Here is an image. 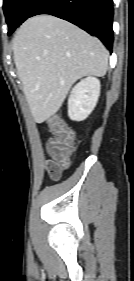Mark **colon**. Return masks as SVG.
Wrapping results in <instances>:
<instances>
[{"mask_svg": "<svg viewBox=\"0 0 134 281\" xmlns=\"http://www.w3.org/2000/svg\"><path fill=\"white\" fill-rule=\"evenodd\" d=\"M49 126L52 137L47 144L48 152L62 169H67L75 148V134L58 116H54L49 120Z\"/></svg>", "mask_w": 134, "mask_h": 281, "instance_id": "1", "label": "colon"}]
</instances>
